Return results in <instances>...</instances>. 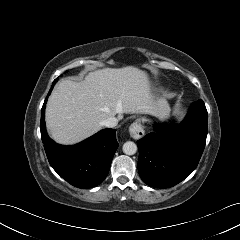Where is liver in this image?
I'll list each match as a JSON object with an SVG mask.
<instances>
[{
	"mask_svg": "<svg viewBox=\"0 0 240 240\" xmlns=\"http://www.w3.org/2000/svg\"><path fill=\"white\" fill-rule=\"evenodd\" d=\"M166 99L155 95L149 76L139 68H105L83 81L62 80L49 97L46 125L51 137L70 145L102 128V122L124 113L162 117L169 113Z\"/></svg>",
	"mask_w": 240,
	"mask_h": 240,
	"instance_id": "liver-1",
	"label": "liver"
}]
</instances>
